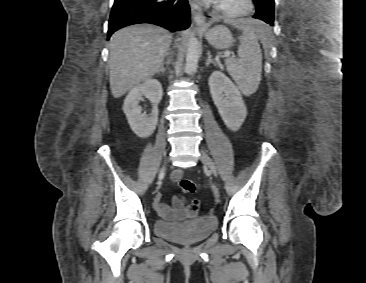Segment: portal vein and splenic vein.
<instances>
[{"instance_id": "1", "label": "portal vein and splenic vein", "mask_w": 366, "mask_h": 283, "mask_svg": "<svg viewBox=\"0 0 366 283\" xmlns=\"http://www.w3.org/2000/svg\"><path fill=\"white\" fill-rule=\"evenodd\" d=\"M229 55H230V52H225V53H224V56H225V57H229Z\"/></svg>"}]
</instances>
